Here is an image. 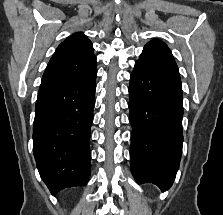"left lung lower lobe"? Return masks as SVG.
<instances>
[{
	"instance_id": "0a47b994",
	"label": "left lung lower lobe",
	"mask_w": 223,
	"mask_h": 215,
	"mask_svg": "<svg viewBox=\"0 0 223 215\" xmlns=\"http://www.w3.org/2000/svg\"><path fill=\"white\" fill-rule=\"evenodd\" d=\"M130 164L138 184L168 190L182 154L183 99L179 73L137 61L130 76Z\"/></svg>"
}]
</instances>
